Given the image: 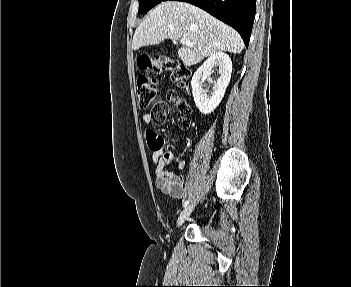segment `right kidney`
<instances>
[{
  "mask_svg": "<svg viewBox=\"0 0 351 287\" xmlns=\"http://www.w3.org/2000/svg\"><path fill=\"white\" fill-rule=\"evenodd\" d=\"M214 67L219 68V78L214 83V92L209 98L203 89V83L211 74ZM232 73V61L224 52H216L197 69L191 81L192 93L195 104L202 114H209L216 109L224 97L226 88L230 82Z\"/></svg>",
  "mask_w": 351,
  "mask_h": 287,
  "instance_id": "obj_1",
  "label": "right kidney"
}]
</instances>
